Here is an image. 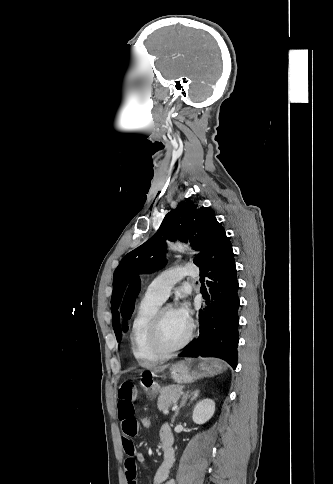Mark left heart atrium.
<instances>
[{
	"label": "left heart atrium",
	"instance_id": "left-heart-atrium-1",
	"mask_svg": "<svg viewBox=\"0 0 333 484\" xmlns=\"http://www.w3.org/2000/svg\"><path fill=\"white\" fill-rule=\"evenodd\" d=\"M175 312L182 321H184L187 324L190 323V310L187 303L185 302L181 303L175 309Z\"/></svg>",
	"mask_w": 333,
	"mask_h": 484
}]
</instances>
